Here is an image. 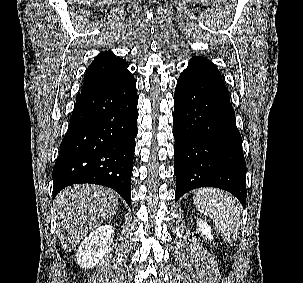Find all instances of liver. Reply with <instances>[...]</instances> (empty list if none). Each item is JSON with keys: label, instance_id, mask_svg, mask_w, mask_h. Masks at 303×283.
Masks as SVG:
<instances>
[{"label": "liver", "instance_id": "liver-1", "mask_svg": "<svg viewBox=\"0 0 303 283\" xmlns=\"http://www.w3.org/2000/svg\"><path fill=\"white\" fill-rule=\"evenodd\" d=\"M117 194L110 188L82 184L65 188L54 200L57 231L65 252L115 214Z\"/></svg>", "mask_w": 303, "mask_h": 283}]
</instances>
